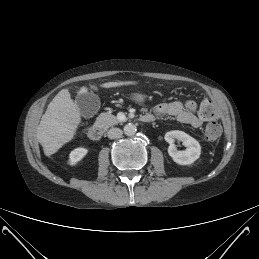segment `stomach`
I'll return each mask as SVG.
<instances>
[{"mask_svg":"<svg viewBox=\"0 0 259 259\" xmlns=\"http://www.w3.org/2000/svg\"><path fill=\"white\" fill-rule=\"evenodd\" d=\"M132 99L136 102H143L144 101V96L142 94H139V93H135L132 95Z\"/></svg>","mask_w":259,"mask_h":259,"instance_id":"1","label":"stomach"}]
</instances>
